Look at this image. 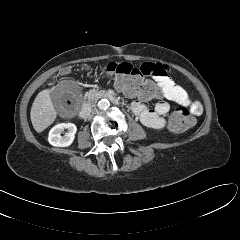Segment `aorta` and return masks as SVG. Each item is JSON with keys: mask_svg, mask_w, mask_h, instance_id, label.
Segmentation results:
<instances>
[{"mask_svg": "<svg viewBox=\"0 0 240 240\" xmlns=\"http://www.w3.org/2000/svg\"><path fill=\"white\" fill-rule=\"evenodd\" d=\"M109 106H110V102L108 99H101L97 104V107L99 110H106L109 108Z\"/></svg>", "mask_w": 240, "mask_h": 240, "instance_id": "762f6f07", "label": "aorta"}]
</instances>
